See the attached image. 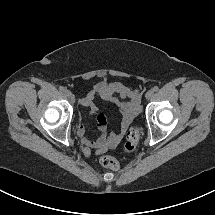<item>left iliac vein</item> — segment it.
<instances>
[{
    "mask_svg": "<svg viewBox=\"0 0 215 215\" xmlns=\"http://www.w3.org/2000/svg\"><path fill=\"white\" fill-rule=\"evenodd\" d=\"M153 96V90H149L147 93H146V98L149 99Z\"/></svg>",
    "mask_w": 215,
    "mask_h": 215,
    "instance_id": "left-iliac-vein-1",
    "label": "left iliac vein"
}]
</instances>
